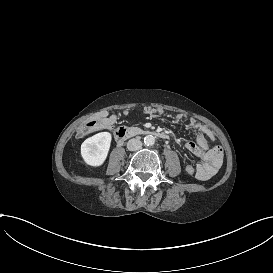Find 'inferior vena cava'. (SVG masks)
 Listing matches in <instances>:
<instances>
[{
    "mask_svg": "<svg viewBox=\"0 0 273 273\" xmlns=\"http://www.w3.org/2000/svg\"><path fill=\"white\" fill-rule=\"evenodd\" d=\"M141 147H142V142L136 138L130 139L127 143V148L130 151L139 150V149H141Z\"/></svg>",
    "mask_w": 273,
    "mask_h": 273,
    "instance_id": "602c4592",
    "label": "inferior vena cava"
}]
</instances>
